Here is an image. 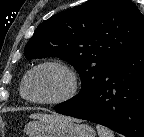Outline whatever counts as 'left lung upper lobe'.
Instances as JSON below:
<instances>
[{"label":"left lung upper lobe","mask_w":144,"mask_h":137,"mask_svg":"<svg viewBox=\"0 0 144 137\" xmlns=\"http://www.w3.org/2000/svg\"><path fill=\"white\" fill-rule=\"evenodd\" d=\"M143 29L144 16L131 0H89L42 22L25 46V57L56 56L72 64L82 80L75 100L96 86Z\"/></svg>","instance_id":"1"}]
</instances>
